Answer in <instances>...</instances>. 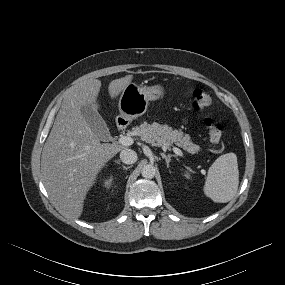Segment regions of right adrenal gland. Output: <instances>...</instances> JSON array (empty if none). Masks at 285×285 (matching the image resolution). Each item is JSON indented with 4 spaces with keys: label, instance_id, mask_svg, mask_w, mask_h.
Instances as JSON below:
<instances>
[{
    "label": "right adrenal gland",
    "instance_id": "obj_1",
    "mask_svg": "<svg viewBox=\"0 0 285 285\" xmlns=\"http://www.w3.org/2000/svg\"><path fill=\"white\" fill-rule=\"evenodd\" d=\"M117 164L122 165L120 160H116L115 161ZM123 169L128 170L130 167H126L124 165H122Z\"/></svg>",
    "mask_w": 285,
    "mask_h": 285
}]
</instances>
